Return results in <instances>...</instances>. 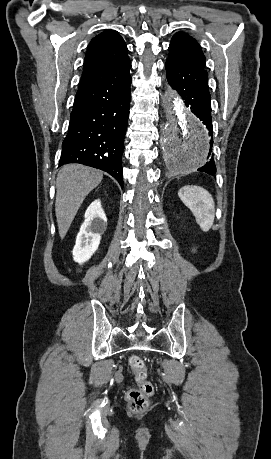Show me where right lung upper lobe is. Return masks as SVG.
I'll return each mask as SVG.
<instances>
[{"mask_svg":"<svg viewBox=\"0 0 271 459\" xmlns=\"http://www.w3.org/2000/svg\"><path fill=\"white\" fill-rule=\"evenodd\" d=\"M127 52L123 38L114 30H105L93 38L86 52L77 94L128 73L131 62Z\"/></svg>","mask_w":271,"mask_h":459,"instance_id":"cb5924a9","label":"right lung upper lobe"}]
</instances>
